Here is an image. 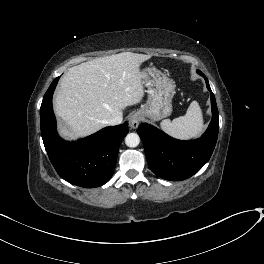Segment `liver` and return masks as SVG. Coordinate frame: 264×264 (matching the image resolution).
<instances>
[{
    "instance_id": "liver-1",
    "label": "liver",
    "mask_w": 264,
    "mask_h": 264,
    "mask_svg": "<svg viewBox=\"0 0 264 264\" xmlns=\"http://www.w3.org/2000/svg\"><path fill=\"white\" fill-rule=\"evenodd\" d=\"M150 58L123 52L69 68L54 100V110L65 122L60 135L74 140L93 134L139 103L144 96L140 65Z\"/></svg>"
}]
</instances>
